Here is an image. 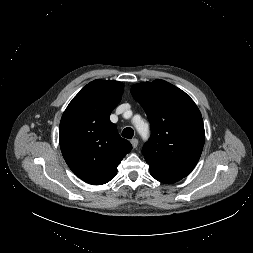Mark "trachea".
<instances>
[{
    "instance_id": "1",
    "label": "trachea",
    "mask_w": 253,
    "mask_h": 253,
    "mask_svg": "<svg viewBox=\"0 0 253 253\" xmlns=\"http://www.w3.org/2000/svg\"><path fill=\"white\" fill-rule=\"evenodd\" d=\"M133 135H134V131H133V129L130 128V127L125 128V129L123 130V132H122V136H123L124 138H127V139H131V138L133 137Z\"/></svg>"
}]
</instances>
